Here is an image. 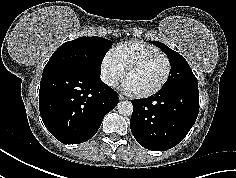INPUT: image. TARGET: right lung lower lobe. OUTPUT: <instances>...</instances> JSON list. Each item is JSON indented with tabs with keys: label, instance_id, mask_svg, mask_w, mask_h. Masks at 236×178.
I'll use <instances>...</instances> for the list:
<instances>
[{
	"label": "right lung lower lobe",
	"instance_id": "98d812e1",
	"mask_svg": "<svg viewBox=\"0 0 236 178\" xmlns=\"http://www.w3.org/2000/svg\"><path fill=\"white\" fill-rule=\"evenodd\" d=\"M117 104V93L99 76L75 69L43 71L40 115L49 132L64 144L92 138Z\"/></svg>",
	"mask_w": 236,
	"mask_h": 178
}]
</instances>
